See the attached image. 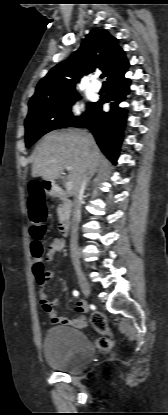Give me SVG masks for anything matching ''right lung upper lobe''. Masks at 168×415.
<instances>
[{"label": "right lung upper lobe", "instance_id": "cb5924a9", "mask_svg": "<svg viewBox=\"0 0 168 415\" xmlns=\"http://www.w3.org/2000/svg\"><path fill=\"white\" fill-rule=\"evenodd\" d=\"M128 65L117 39L105 30L93 29L83 40L79 50L53 67L40 80L30 99L29 110L76 93L75 85L83 73L89 74L100 69L109 79Z\"/></svg>", "mask_w": 168, "mask_h": 415}]
</instances>
